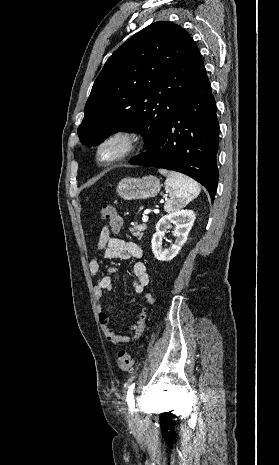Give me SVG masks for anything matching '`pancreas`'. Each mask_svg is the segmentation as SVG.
<instances>
[{
  "label": "pancreas",
  "instance_id": "cf45deb5",
  "mask_svg": "<svg viewBox=\"0 0 279 465\" xmlns=\"http://www.w3.org/2000/svg\"><path fill=\"white\" fill-rule=\"evenodd\" d=\"M147 228L145 224L136 225L133 228H130V232L133 236L142 238L143 231Z\"/></svg>",
  "mask_w": 279,
  "mask_h": 465
}]
</instances>
